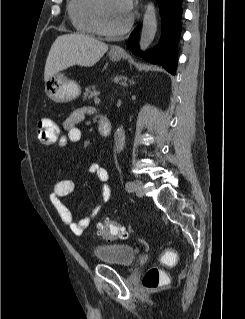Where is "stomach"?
<instances>
[{
	"label": "stomach",
	"instance_id": "obj_1",
	"mask_svg": "<svg viewBox=\"0 0 245 319\" xmlns=\"http://www.w3.org/2000/svg\"><path fill=\"white\" fill-rule=\"evenodd\" d=\"M112 61H119L121 53H109ZM81 89L79 84L69 79L63 73H56L45 81L46 95L56 103H66L76 99L80 95Z\"/></svg>",
	"mask_w": 245,
	"mask_h": 319
}]
</instances>
